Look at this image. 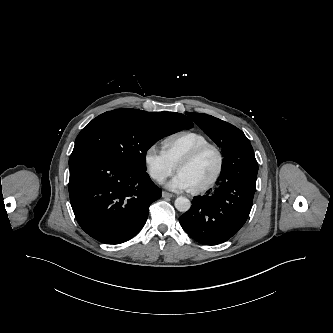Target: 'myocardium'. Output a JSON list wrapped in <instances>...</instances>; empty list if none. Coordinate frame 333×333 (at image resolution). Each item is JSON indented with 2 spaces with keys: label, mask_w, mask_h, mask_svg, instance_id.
I'll return each mask as SVG.
<instances>
[{
  "label": "myocardium",
  "mask_w": 333,
  "mask_h": 333,
  "mask_svg": "<svg viewBox=\"0 0 333 333\" xmlns=\"http://www.w3.org/2000/svg\"><path fill=\"white\" fill-rule=\"evenodd\" d=\"M208 150H213L217 155L218 163H217L216 171H215L214 175L212 176V178L207 183H205L204 185H202L198 188L191 189L190 192L193 194L204 193V192L208 191L209 189H211L216 184V182L220 178L223 168H224V155H223L222 151L215 144L206 143V144L198 146L197 148L192 150L190 153H188L186 156H184L176 166L177 171L179 172V170L183 166L192 163L193 161L198 159L204 152H206Z\"/></svg>",
  "instance_id": "1"
}]
</instances>
